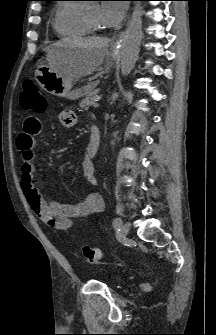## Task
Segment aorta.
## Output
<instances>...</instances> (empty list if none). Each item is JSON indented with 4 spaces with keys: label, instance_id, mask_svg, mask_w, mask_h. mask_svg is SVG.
<instances>
[{
    "label": "aorta",
    "instance_id": "1",
    "mask_svg": "<svg viewBox=\"0 0 216 335\" xmlns=\"http://www.w3.org/2000/svg\"><path fill=\"white\" fill-rule=\"evenodd\" d=\"M142 40V8L141 4H135L128 28L122 41L121 74L127 76L133 70L138 59Z\"/></svg>",
    "mask_w": 216,
    "mask_h": 335
}]
</instances>
